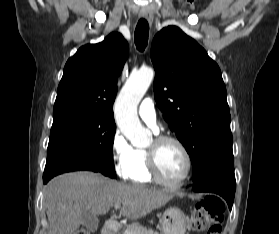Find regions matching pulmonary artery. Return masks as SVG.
Returning <instances> with one entry per match:
<instances>
[{"instance_id": "pulmonary-artery-1", "label": "pulmonary artery", "mask_w": 279, "mask_h": 234, "mask_svg": "<svg viewBox=\"0 0 279 234\" xmlns=\"http://www.w3.org/2000/svg\"><path fill=\"white\" fill-rule=\"evenodd\" d=\"M138 113L146 124H148L155 132L158 131V127L156 126V110L154 101L151 97L143 99L139 106Z\"/></svg>"}]
</instances>
